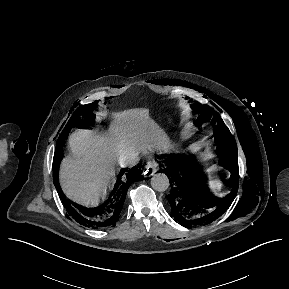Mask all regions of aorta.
I'll use <instances>...</instances> for the list:
<instances>
[{"label": "aorta", "instance_id": "obj_1", "mask_svg": "<svg viewBox=\"0 0 289 289\" xmlns=\"http://www.w3.org/2000/svg\"><path fill=\"white\" fill-rule=\"evenodd\" d=\"M151 186L158 192L166 191L169 187V179L163 173L154 174L151 178Z\"/></svg>", "mask_w": 289, "mask_h": 289}]
</instances>
